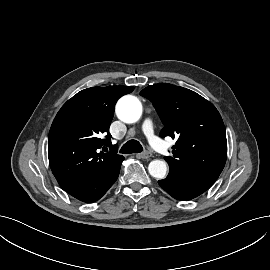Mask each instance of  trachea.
Wrapping results in <instances>:
<instances>
[{
  "label": "trachea",
  "instance_id": "obj_1",
  "mask_svg": "<svg viewBox=\"0 0 270 270\" xmlns=\"http://www.w3.org/2000/svg\"><path fill=\"white\" fill-rule=\"evenodd\" d=\"M143 151V147L137 140H129L126 142L122 148L120 149V152L123 154H131V153H140Z\"/></svg>",
  "mask_w": 270,
  "mask_h": 270
}]
</instances>
